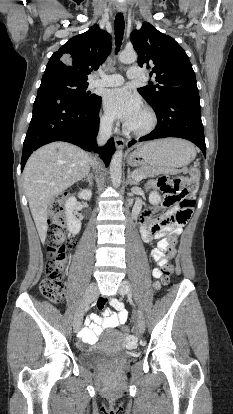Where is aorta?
<instances>
[{"mask_svg":"<svg viewBox=\"0 0 233 414\" xmlns=\"http://www.w3.org/2000/svg\"><path fill=\"white\" fill-rule=\"evenodd\" d=\"M137 60V53L134 50H124L119 55V61L125 64L134 63ZM110 177L115 188L120 187L122 178V151L114 153L110 163Z\"/></svg>","mask_w":233,"mask_h":414,"instance_id":"obj_1","label":"aorta"}]
</instances>
